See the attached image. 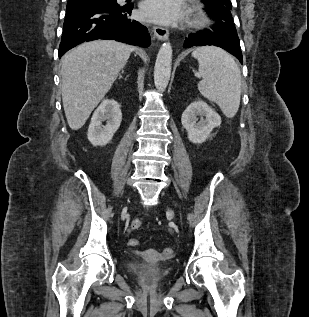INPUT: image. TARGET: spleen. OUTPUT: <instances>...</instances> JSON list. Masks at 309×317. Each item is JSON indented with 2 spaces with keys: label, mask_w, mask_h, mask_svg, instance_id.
Returning <instances> with one entry per match:
<instances>
[{
  "label": "spleen",
  "mask_w": 309,
  "mask_h": 317,
  "mask_svg": "<svg viewBox=\"0 0 309 317\" xmlns=\"http://www.w3.org/2000/svg\"><path fill=\"white\" fill-rule=\"evenodd\" d=\"M192 57L198 60V75L202 77L198 83L199 92L216 103L226 117L233 118L241 97V73L234 58L213 46L196 48Z\"/></svg>",
  "instance_id": "3e777b00"
}]
</instances>
